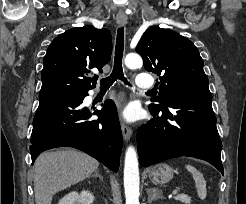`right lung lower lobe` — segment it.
Here are the masks:
<instances>
[{
    "label": "right lung lower lobe",
    "instance_id": "obj_1",
    "mask_svg": "<svg viewBox=\"0 0 246 204\" xmlns=\"http://www.w3.org/2000/svg\"><path fill=\"white\" fill-rule=\"evenodd\" d=\"M88 91H65L40 97L33 120L30 153L37 156L51 148L74 147L91 155L114 172L118 171L122 135L115 104L106 100L93 114L82 106Z\"/></svg>",
    "mask_w": 246,
    "mask_h": 204
}]
</instances>
